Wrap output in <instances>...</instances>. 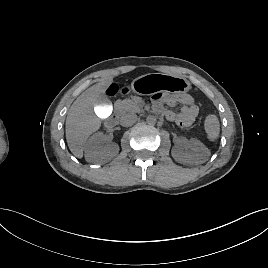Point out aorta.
<instances>
[{
    "label": "aorta",
    "instance_id": "aorta-1",
    "mask_svg": "<svg viewBox=\"0 0 268 268\" xmlns=\"http://www.w3.org/2000/svg\"><path fill=\"white\" fill-rule=\"evenodd\" d=\"M146 122H147L149 125H155L156 122H157V118H156V116H154V115H149V116L146 118Z\"/></svg>",
    "mask_w": 268,
    "mask_h": 268
}]
</instances>
